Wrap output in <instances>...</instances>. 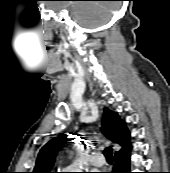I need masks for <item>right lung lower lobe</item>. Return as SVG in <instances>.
<instances>
[{
    "instance_id": "1",
    "label": "right lung lower lobe",
    "mask_w": 170,
    "mask_h": 173,
    "mask_svg": "<svg viewBox=\"0 0 170 173\" xmlns=\"http://www.w3.org/2000/svg\"><path fill=\"white\" fill-rule=\"evenodd\" d=\"M130 151L131 145L115 153V164L112 173H131Z\"/></svg>"
}]
</instances>
